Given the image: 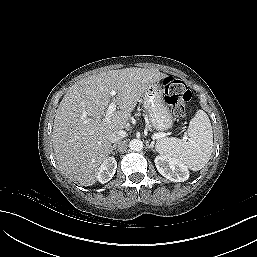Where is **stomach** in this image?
<instances>
[{"mask_svg": "<svg viewBox=\"0 0 257 257\" xmlns=\"http://www.w3.org/2000/svg\"><path fill=\"white\" fill-rule=\"evenodd\" d=\"M160 84H151L143 93L141 101L151 126L157 131H167L173 126V116L164 101Z\"/></svg>", "mask_w": 257, "mask_h": 257, "instance_id": "obj_1", "label": "stomach"}]
</instances>
